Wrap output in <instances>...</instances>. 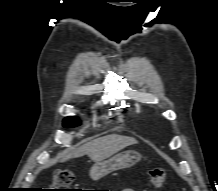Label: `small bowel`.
Wrapping results in <instances>:
<instances>
[{"mask_svg":"<svg viewBox=\"0 0 218 191\" xmlns=\"http://www.w3.org/2000/svg\"><path fill=\"white\" fill-rule=\"evenodd\" d=\"M122 191H135V190L127 188V189H124Z\"/></svg>","mask_w":218,"mask_h":191,"instance_id":"small-bowel-1","label":"small bowel"}]
</instances>
